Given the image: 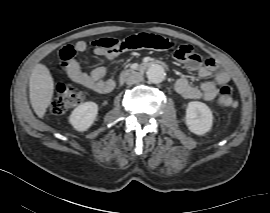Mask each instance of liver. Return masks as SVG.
<instances>
[{"label":"liver","instance_id":"6515ba94","mask_svg":"<svg viewBox=\"0 0 270 213\" xmlns=\"http://www.w3.org/2000/svg\"><path fill=\"white\" fill-rule=\"evenodd\" d=\"M54 80L44 64H36L29 80V97L36 115L42 118L51 103Z\"/></svg>","mask_w":270,"mask_h":213}]
</instances>
